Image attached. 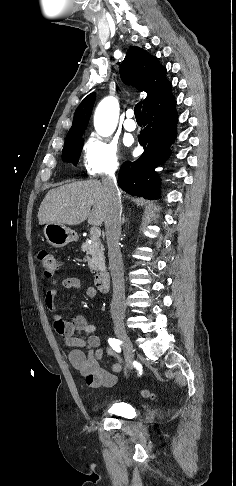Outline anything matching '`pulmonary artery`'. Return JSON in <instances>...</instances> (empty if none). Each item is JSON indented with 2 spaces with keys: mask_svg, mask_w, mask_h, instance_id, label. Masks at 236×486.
<instances>
[{
  "mask_svg": "<svg viewBox=\"0 0 236 486\" xmlns=\"http://www.w3.org/2000/svg\"><path fill=\"white\" fill-rule=\"evenodd\" d=\"M134 116V111L132 109H129L126 112V119L124 121V128L127 131H134L137 127L135 120L133 119Z\"/></svg>",
  "mask_w": 236,
  "mask_h": 486,
  "instance_id": "obj_1",
  "label": "pulmonary artery"
}]
</instances>
